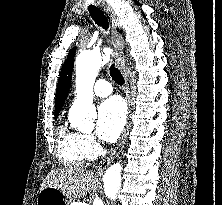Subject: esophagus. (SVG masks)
I'll list each match as a JSON object with an SVG mask.
<instances>
[{"label":"esophagus","mask_w":222,"mask_h":205,"mask_svg":"<svg viewBox=\"0 0 222 205\" xmlns=\"http://www.w3.org/2000/svg\"><path fill=\"white\" fill-rule=\"evenodd\" d=\"M104 11L108 14V16L110 17V20H111V27H112L111 43L113 45V48H114L115 54H116V64H117L118 68L122 71L124 78H125L126 100L128 103V113L130 115L131 111H132V99H131L132 83L130 81L128 71H127V66L125 64L124 57L122 54V51L124 48L123 40L121 39V37L117 33V27L119 26V19L116 16V14L114 13V11L111 9V7H109V6L104 7ZM129 126H130V121L128 118V122L125 126L121 142L117 145V147L113 150V152L109 155V157L102 162V164L100 165V167L98 169L99 171H103L104 169H106L113 162V160L120 154V152L126 142V139H127V132L129 130Z\"/></svg>","instance_id":"obj_1"}]
</instances>
